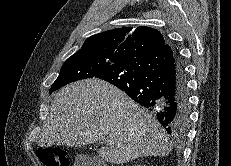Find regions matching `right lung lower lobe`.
<instances>
[{
  "mask_svg": "<svg viewBox=\"0 0 231 166\" xmlns=\"http://www.w3.org/2000/svg\"><path fill=\"white\" fill-rule=\"evenodd\" d=\"M94 77L117 86L152 111L168 134H185L190 111L188 88L181 58L170 45L111 65Z\"/></svg>",
  "mask_w": 231,
  "mask_h": 166,
  "instance_id": "obj_1",
  "label": "right lung lower lobe"
}]
</instances>
